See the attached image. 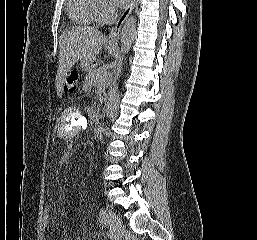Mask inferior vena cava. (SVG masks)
I'll list each match as a JSON object with an SVG mask.
<instances>
[{"label": "inferior vena cava", "mask_w": 257, "mask_h": 240, "mask_svg": "<svg viewBox=\"0 0 257 240\" xmlns=\"http://www.w3.org/2000/svg\"><path fill=\"white\" fill-rule=\"evenodd\" d=\"M117 19V10L114 7L109 8V19L108 23L109 25L114 24Z\"/></svg>", "instance_id": "602c4592"}]
</instances>
